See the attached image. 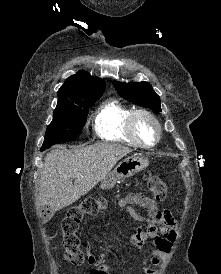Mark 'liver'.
Returning a JSON list of instances; mask_svg holds the SVG:
<instances>
[{"mask_svg": "<svg viewBox=\"0 0 221 274\" xmlns=\"http://www.w3.org/2000/svg\"><path fill=\"white\" fill-rule=\"evenodd\" d=\"M131 151L128 147L108 143L52 150L44 159L36 197L37 208L48 206L57 211L73 204L102 181Z\"/></svg>", "mask_w": 221, "mask_h": 274, "instance_id": "liver-1", "label": "liver"}]
</instances>
